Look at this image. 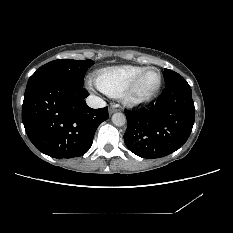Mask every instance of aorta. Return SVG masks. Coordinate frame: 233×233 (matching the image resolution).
Listing matches in <instances>:
<instances>
[{"instance_id": "762f6f07", "label": "aorta", "mask_w": 233, "mask_h": 233, "mask_svg": "<svg viewBox=\"0 0 233 233\" xmlns=\"http://www.w3.org/2000/svg\"><path fill=\"white\" fill-rule=\"evenodd\" d=\"M112 122L116 126H123L126 123V117L123 113H115L112 116Z\"/></svg>"}]
</instances>
